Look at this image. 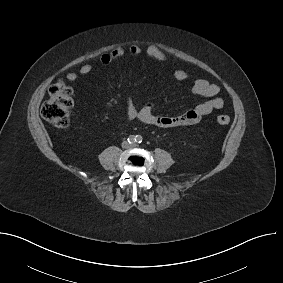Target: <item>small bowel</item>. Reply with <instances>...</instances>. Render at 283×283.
Masks as SVG:
<instances>
[{
	"label": "small bowel",
	"mask_w": 283,
	"mask_h": 283,
	"mask_svg": "<svg viewBox=\"0 0 283 283\" xmlns=\"http://www.w3.org/2000/svg\"><path fill=\"white\" fill-rule=\"evenodd\" d=\"M126 53H129L132 56H138L145 53L148 57L160 62H167L169 60L168 55L155 45L143 48L141 45L133 44L127 50L122 47H117L110 52L103 53L100 57V62L103 65L111 64L112 62L123 58ZM91 71L92 66L90 64H84L79 69L81 75H87L91 73ZM77 78L78 75L75 72H69L66 75V79L70 82L76 81ZM172 78L177 82H183L188 79V73L185 70L179 69L173 72ZM191 92L194 95L204 97L207 100L181 115H159L155 112V108L151 103L137 108L132 98L129 97L127 101V116L129 119H139L148 125L161 128H173L196 124L204 116L212 113L214 110L221 109L224 105L223 99L219 96V87L205 79L196 80L191 87Z\"/></svg>",
	"instance_id": "1"
}]
</instances>
